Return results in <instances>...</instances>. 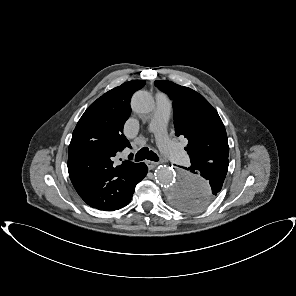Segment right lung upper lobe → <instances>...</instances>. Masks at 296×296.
<instances>
[{
    "label": "right lung upper lobe",
    "instance_id": "right-lung-upper-lobe-1",
    "mask_svg": "<svg viewBox=\"0 0 296 296\" xmlns=\"http://www.w3.org/2000/svg\"><path fill=\"white\" fill-rule=\"evenodd\" d=\"M145 85L133 80L106 92L84 112L72 135L68 172L79 196L91 207L113 211L130 199L131 175L136 165L124 161L113 165V157L130 144L123 134L131 114L132 94Z\"/></svg>",
    "mask_w": 296,
    "mask_h": 296
}]
</instances>
